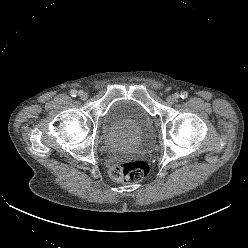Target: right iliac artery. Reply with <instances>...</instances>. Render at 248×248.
<instances>
[{
  "label": "right iliac artery",
  "instance_id": "82829eb1",
  "mask_svg": "<svg viewBox=\"0 0 248 248\" xmlns=\"http://www.w3.org/2000/svg\"><path fill=\"white\" fill-rule=\"evenodd\" d=\"M70 95L72 97H76L77 96V91L76 90H71Z\"/></svg>",
  "mask_w": 248,
  "mask_h": 248
}]
</instances>
